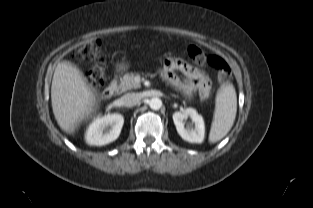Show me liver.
I'll list each match as a JSON object with an SVG mask.
<instances>
[{
  "label": "liver",
  "instance_id": "1",
  "mask_svg": "<svg viewBox=\"0 0 313 208\" xmlns=\"http://www.w3.org/2000/svg\"><path fill=\"white\" fill-rule=\"evenodd\" d=\"M51 102L59 127L71 134L95 111L96 94L79 68L71 62H61L54 71Z\"/></svg>",
  "mask_w": 313,
  "mask_h": 208
}]
</instances>
